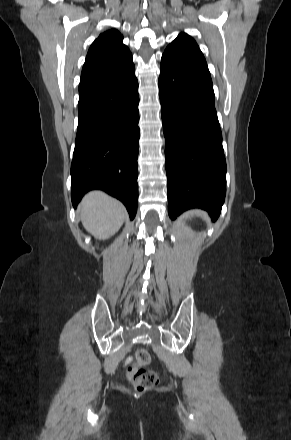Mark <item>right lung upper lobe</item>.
I'll use <instances>...</instances> for the list:
<instances>
[{"label":"right lung upper lobe","mask_w":291,"mask_h":440,"mask_svg":"<svg viewBox=\"0 0 291 440\" xmlns=\"http://www.w3.org/2000/svg\"><path fill=\"white\" fill-rule=\"evenodd\" d=\"M122 40L115 29L100 34L87 53L81 81L108 78L133 68L132 54Z\"/></svg>","instance_id":"cb5924a9"}]
</instances>
